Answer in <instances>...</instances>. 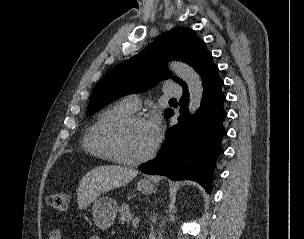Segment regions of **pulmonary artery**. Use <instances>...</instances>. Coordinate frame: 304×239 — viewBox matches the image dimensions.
Segmentation results:
<instances>
[{
  "instance_id": "e3ab8cb5",
  "label": "pulmonary artery",
  "mask_w": 304,
  "mask_h": 239,
  "mask_svg": "<svg viewBox=\"0 0 304 239\" xmlns=\"http://www.w3.org/2000/svg\"><path fill=\"white\" fill-rule=\"evenodd\" d=\"M164 93L170 97H180L182 94V89L177 84L168 82L164 87ZM123 102L134 111L140 106V99L136 94L127 95L123 99Z\"/></svg>"
}]
</instances>
